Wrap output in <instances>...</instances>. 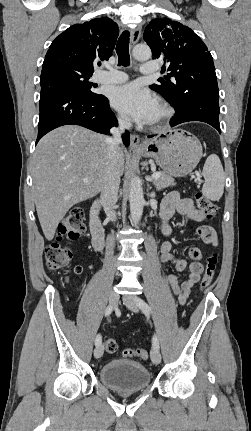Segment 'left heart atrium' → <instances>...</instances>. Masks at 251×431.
Segmentation results:
<instances>
[{"mask_svg":"<svg viewBox=\"0 0 251 431\" xmlns=\"http://www.w3.org/2000/svg\"><path fill=\"white\" fill-rule=\"evenodd\" d=\"M112 106L137 122L148 123L158 109V101L137 82L116 87L111 94Z\"/></svg>","mask_w":251,"mask_h":431,"instance_id":"39dd6f15","label":"left heart atrium"}]
</instances>
